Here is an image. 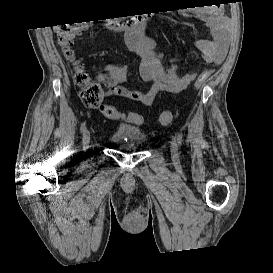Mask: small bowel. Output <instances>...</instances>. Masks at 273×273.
Wrapping results in <instances>:
<instances>
[{
    "label": "small bowel",
    "mask_w": 273,
    "mask_h": 273,
    "mask_svg": "<svg viewBox=\"0 0 273 273\" xmlns=\"http://www.w3.org/2000/svg\"><path fill=\"white\" fill-rule=\"evenodd\" d=\"M184 15L200 18L210 28L211 38L198 40L196 47L205 62L220 64L227 54L231 29V21L222 7L204 6L188 10ZM126 40L129 50L140 58L141 79L150 83V87L144 91L124 87L122 83L128 75L127 67L106 64L104 73L97 74L96 79L106 86L107 97L117 95L150 106L160 92L180 93L196 79L198 74L194 71L179 76L174 64L157 50L154 39L142 37L137 31L131 30ZM129 113H122V120L129 121L126 118Z\"/></svg>",
    "instance_id": "c3829d8e"
}]
</instances>
